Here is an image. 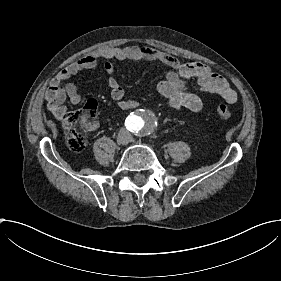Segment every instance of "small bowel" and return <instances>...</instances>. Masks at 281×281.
Wrapping results in <instances>:
<instances>
[{"instance_id": "1", "label": "small bowel", "mask_w": 281, "mask_h": 281, "mask_svg": "<svg viewBox=\"0 0 281 281\" xmlns=\"http://www.w3.org/2000/svg\"><path fill=\"white\" fill-rule=\"evenodd\" d=\"M108 59L149 61L166 65L169 69L165 71L163 79L158 82L157 89L169 99L171 107L177 113L201 111L203 108L201 92L218 94L229 104L237 101V94L228 80L204 63L180 64L173 55L145 46L106 47L68 66L49 86L45 97L47 106L58 121L65 122L68 119L69 109L65 105L66 101L72 105L81 102V95L77 87L66 81L80 72L95 69L100 61ZM105 69L108 73L113 72L111 64H106ZM189 79L197 80L200 88L198 92L189 90ZM60 82H65L63 87L59 86ZM108 87L112 100L117 103L120 109L131 111L138 108V103L135 100L125 98L124 91L115 78H109ZM92 126L97 128L99 123L94 121Z\"/></svg>"}]
</instances>
